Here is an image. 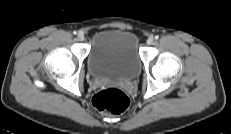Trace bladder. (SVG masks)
<instances>
[{"label":"bladder","mask_w":231,"mask_h":134,"mask_svg":"<svg viewBox=\"0 0 231 134\" xmlns=\"http://www.w3.org/2000/svg\"><path fill=\"white\" fill-rule=\"evenodd\" d=\"M141 68L139 43L131 31L107 29L96 32L90 43L87 69L94 78L130 79Z\"/></svg>","instance_id":"31cf9c89"}]
</instances>
